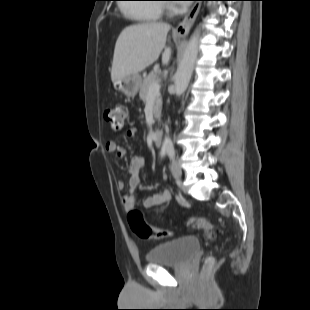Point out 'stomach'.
Masks as SVG:
<instances>
[{"mask_svg":"<svg viewBox=\"0 0 310 310\" xmlns=\"http://www.w3.org/2000/svg\"><path fill=\"white\" fill-rule=\"evenodd\" d=\"M113 86L115 90L124 93L126 96L134 97L141 86V77L139 75L126 76L114 82Z\"/></svg>","mask_w":310,"mask_h":310,"instance_id":"1","label":"stomach"}]
</instances>
